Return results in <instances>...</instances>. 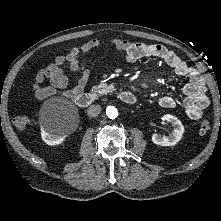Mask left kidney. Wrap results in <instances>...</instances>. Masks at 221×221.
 <instances>
[{
	"mask_svg": "<svg viewBox=\"0 0 221 221\" xmlns=\"http://www.w3.org/2000/svg\"><path fill=\"white\" fill-rule=\"evenodd\" d=\"M163 120L170 122L174 129L169 136H161L159 134L152 135V141L161 146H173L176 145L182 138L184 133V126L181 121L171 114H165L162 117Z\"/></svg>",
	"mask_w": 221,
	"mask_h": 221,
	"instance_id": "1",
	"label": "left kidney"
}]
</instances>
